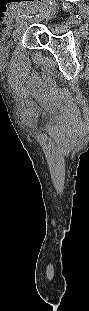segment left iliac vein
<instances>
[{
    "label": "left iliac vein",
    "mask_w": 89,
    "mask_h": 311,
    "mask_svg": "<svg viewBox=\"0 0 89 311\" xmlns=\"http://www.w3.org/2000/svg\"><path fill=\"white\" fill-rule=\"evenodd\" d=\"M30 20H28L29 22ZM26 24H19L16 29L13 31V39L16 40L23 32Z\"/></svg>",
    "instance_id": "left-iliac-vein-1"
}]
</instances>
